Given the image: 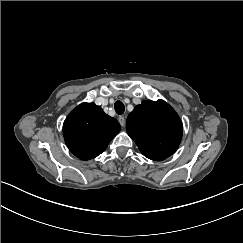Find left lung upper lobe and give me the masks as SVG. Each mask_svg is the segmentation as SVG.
<instances>
[{
    "label": "left lung upper lobe",
    "mask_w": 243,
    "mask_h": 243,
    "mask_svg": "<svg viewBox=\"0 0 243 243\" xmlns=\"http://www.w3.org/2000/svg\"><path fill=\"white\" fill-rule=\"evenodd\" d=\"M126 130L145 157L161 161L177 150L183 126L178 114L165 101L148 100L128 115Z\"/></svg>",
    "instance_id": "obj_1"
}]
</instances>
